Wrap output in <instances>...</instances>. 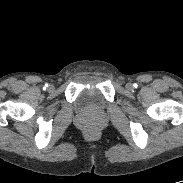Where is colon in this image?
I'll return each instance as SVG.
<instances>
[{"mask_svg": "<svg viewBox=\"0 0 183 183\" xmlns=\"http://www.w3.org/2000/svg\"><path fill=\"white\" fill-rule=\"evenodd\" d=\"M86 129L89 133H94L96 131V124L93 119L86 120Z\"/></svg>", "mask_w": 183, "mask_h": 183, "instance_id": "1", "label": "colon"}]
</instances>
